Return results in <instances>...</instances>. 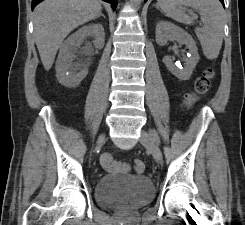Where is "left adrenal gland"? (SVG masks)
Segmentation results:
<instances>
[{
  "label": "left adrenal gland",
  "mask_w": 245,
  "mask_h": 225,
  "mask_svg": "<svg viewBox=\"0 0 245 225\" xmlns=\"http://www.w3.org/2000/svg\"><path fill=\"white\" fill-rule=\"evenodd\" d=\"M156 8L159 10V7H158V5H156Z\"/></svg>",
  "instance_id": "1"
}]
</instances>
